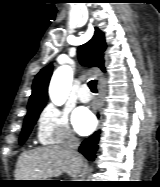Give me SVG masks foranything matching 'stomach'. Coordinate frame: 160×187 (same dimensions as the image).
Returning a JSON list of instances; mask_svg holds the SVG:
<instances>
[{
    "mask_svg": "<svg viewBox=\"0 0 160 187\" xmlns=\"http://www.w3.org/2000/svg\"><path fill=\"white\" fill-rule=\"evenodd\" d=\"M44 181H48V180H41L39 182H35L34 185L35 186H47L46 185L47 182H44Z\"/></svg>",
    "mask_w": 160,
    "mask_h": 187,
    "instance_id": "obj_1",
    "label": "stomach"
}]
</instances>
